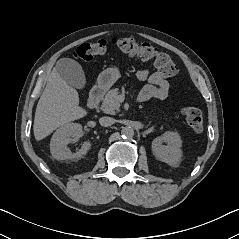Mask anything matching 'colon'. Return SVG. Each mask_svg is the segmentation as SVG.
Masks as SVG:
<instances>
[{"label": "colon", "mask_w": 239, "mask_h": 239, "mask_svg": "<svg viewBox=\"0 0 239 239\" xmlns=\"http://www.w3.org/2000/svg\"><path fill=\"white\" fill-rule=\"evenodd\" d=\"M111 43L118 47L123 53L136 56L137 58L154 61L160 74L165 77H172L177 74V66L172 59L165 53L160 52L157 48L149 43H138L133 38H115ZM108 48V41L101 39L93 43H83L73 52L76 59L90 61L95 56L104 54ZM181 114L186 123L196 132L203 129V115L200 109L193 106H186L182 109Z\"/></svg>", "instance_id": "5ec220e1"}]
</instances>
